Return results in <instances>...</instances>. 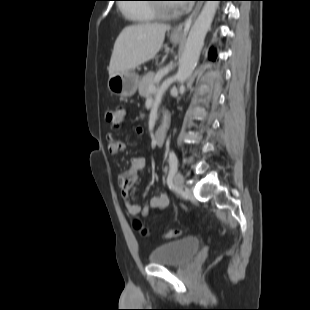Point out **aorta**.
Listing matches in <instances>:
<instances>
[{
	"label": "aorta",
	"mask_w": 310,
	"mask_h": 310,
	"mask_svg": "<svg viewBox=\"0 0 310 310\" xmlns=\"http://www.w3.org/2000/svg\"><path fill=\"white\" fill-rule=\"evenodd\" d=\"M218 5V1H206L190 29L176 74V78L181 85L185 83L195 68Z\"/></svg>",
	"instance_id": "1"
}]
</instances>
